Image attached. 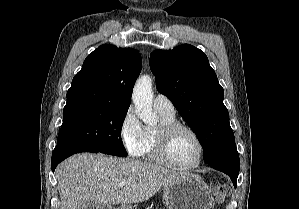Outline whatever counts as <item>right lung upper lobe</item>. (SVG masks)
<instances>
[{"label":"right lung upper lobe","mask_w":299,"mask_h":209,"mask_svg":"<svg viewBox=\"0 0 299 209\" xmlns=\"http://www.w3.org/2000/svg\"><path fill=\"white\" fill-rule=\"evenodd\" d=\"M142 59L132 48L101 45L85 59L72 80L66 106L107 105L129 108Z\"/></svg>","instance_id":"1"}]
</instances>
